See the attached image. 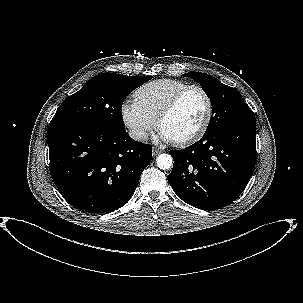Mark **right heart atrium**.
Returning <instances> with one entry per match:
<instances>
[{
  "mask_svg": "<svg viewBox=\"0 0 303 303\" xmlns=\"http://www.w3.org/2000/svg\"><path fill=\"white\" fill-rule=\"evenodd\" d=\"M121 117L130 135L137 141L147 138L149 132L156 126L153 119L136 99H126L121 105Z\"/></svg>",
  "mask_w": 303,
  "mask_h": 303,
  "instance_id": "1",
  "label": "right heart atrium"
}]
</instances>
